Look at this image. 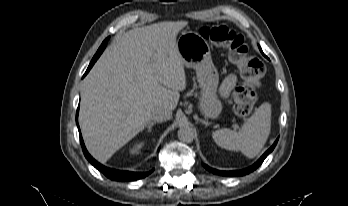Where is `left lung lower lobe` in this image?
I'll use <instances>...</instances> for the list:
<instances>
[{"label":"left lung lower lobe","mask_w":348,"mask_h":206,"mask_svg":"<svg viewBox=\"0 0 348 206\" xmlns=\"http://www.w3.org/2000/svg\"><path fill=\"white\" fill-rule=\"evenodd\" d=\"M277 141H278V139L275 141V143L272 145V147L270 149H268L255 164H253L251 167L246 168L244 170L219 171V170L210 168L209 166H207L205 164H203V166L208 171H210V172H212L214 174H219V175H223V176H242V175H246V174L254 171L256 168H258L262 164V162L268 156V154L275 148V146L277 144Z\"/></svg>","instance_id":"left-lung-lower-lobe-1"}]
</instances>
